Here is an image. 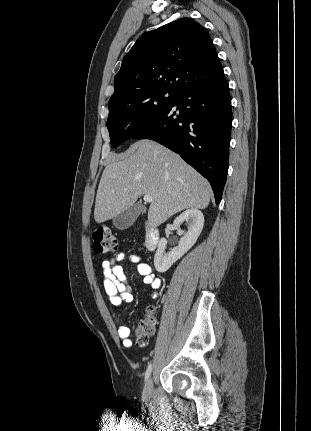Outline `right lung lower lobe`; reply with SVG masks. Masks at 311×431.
<instances>
[{"instance_id": "98d812e1", "label": "right lung lower lobe", "mask_w": 311, "mask_h": 431, "mask_svg": "<svg viewBox=\"0 0 311 431\" xmlns=\"http://www.w3.org/2000/svg\"><path fill=\"white\" fill-rule=\"evenodd\" d=\"M231 124L229 85L221 71L177 93L172 105L132 138L151 139L178 153L208 179L218 204L229 166Z\"/></svg>"}]
</instances>
